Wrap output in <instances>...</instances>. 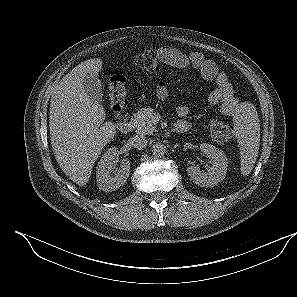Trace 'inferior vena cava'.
I'll return each instance as SVG.
<instances>
[{"mask_svg":"<svg viewBox=\"0 0 297 297\" xmlns=\"http://www.w3.org/2000/svg\"><path fill=\"white\" fill-rule=\"evenodd\" d=\"M130 140H131L132 146L139 150L145 148L148 143L144 135H135Z\"/></svg>","mask_w":297,"mask_h":297,"instance_id":"1","label":"inferior vena cava"}]
</instances>
